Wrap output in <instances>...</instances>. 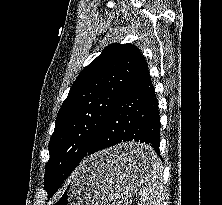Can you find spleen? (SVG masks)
<instances>
[{"instance_id": "1", "label": "spleen", "mask_w": 222, "mask_h": 205, "mask_svg": "<svg viewBox=\"0 0 222 205\" xmlns=\"http://www.w3.org/2000/svg\"><path fill=\"white\" fill-rule=\"evenodd\" d=\"M163 191L162 168L153 159L150 170L145 177L144 185L139 192L140 202L138 205H163Z\"/></svg>"}]
</instances>
